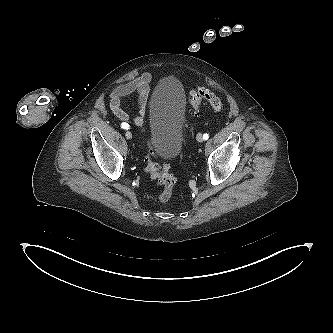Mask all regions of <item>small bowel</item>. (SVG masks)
I'll return each mask as SVG.
<instances>
[{
    "mask_svg": "<svg viewBox=\"0 0 333 333\" xmlns=\"http://www.w3.org/2000/svg\"><path fill=\"white\" fill-rule=\"evenodd\" d=\"M151 80L152 75L149 72H146L133 81L118 86L111 92L109 106L113 114L120 121L125 123L130 120L129 114L121 107L122 101L131 95H135L139 109L138 113L132 118V122L136 126H142L144 124Z\"/></svg>",
    "mask_w": 333,
    "mask_h": 333,
    "instance_id": "c3829d8e",
    "label": "small bowel"
}]
</instances>
